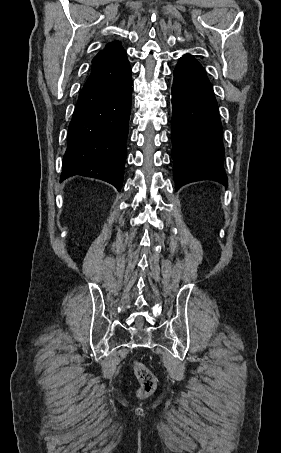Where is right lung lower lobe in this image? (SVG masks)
Instances as JSON below:
<instances>
[{
  "instance_id": "98d812e1",
  "label": "right lung lower lobe",
  "mask_w": 281,
  "mask_h": 453,
  "mask_svg": "<svg viewBox=\"0 0 281 453\" xmlns=\"http://www.w3.org/2000/svg\"><path fill=\"white\" fill-rule=\"evenodd\" d=\"M131 67L125 51L91 70L68 128L60 182L74 175L120 191L131 109Z\"/></svg>"
}]
</instances>
